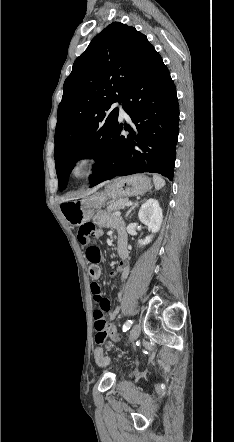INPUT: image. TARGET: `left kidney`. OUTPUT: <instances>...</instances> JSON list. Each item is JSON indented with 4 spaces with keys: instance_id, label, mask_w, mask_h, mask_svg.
Segmentation results:
<instances>
[{
    "instance_id": "1",
    "label": "left kidney",
    "mask_w": 234,
    "mask_h": 442,
    "mask_svg": "<svg viewBox=\"0 0 234 442\" xmlns=\"http://www.w3.org/2000/svg\"><path fill=\"white\" fill-rule=\"evenodd\" d=\"M139 220L145 224L152 232V235L138 241L140 246L149 244L152 241L153 233L160 230L163 214L158 200L150 198L141 207L138 212Z\"/></svg>"
}]
</instances>
